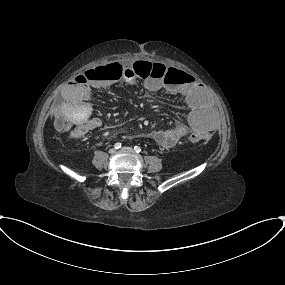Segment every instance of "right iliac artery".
<instances>
[{"label": "right iliac artery", "mask_w": 285, "mask_h": 285, "mask_svg": "<svg viewBox=\"0 0 285 285\" xmlns=\"http://www.w3.org/2000/svg\"><path fill=\"white\" fill-rule=\"evenodd\" d=\"M114 148L115 149L121 148V143H119V142L115 143Z\"/></svg>", "instance_id": "1"}]
</instances>
